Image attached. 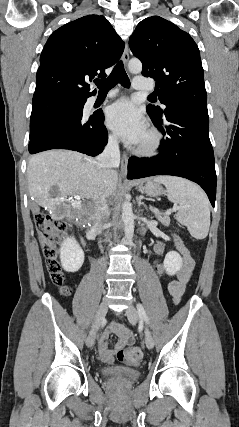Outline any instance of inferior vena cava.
Segmentation results:
<instances>
[{
  "label": "inferior vena cava",
  "instance_id": "inferior-vena-cava-1",
  "mask_svg": "<svg viewBox=\"0 0 239 427\" xmlns=\"http://www.w3.org/2000/svg\"><path fill=\"white\" fill-rule=\"evenodd\" d=\"M100 167L104 172L111 171L112 168L118 167L120 163V151L118 145V139L116 136H110L108 143L105 146L103 152L97 158ZM109 217L108 206L105 201H102L99 206V213L95 221V230L101 232L105 222Z\"/></svg>",
  "mask_w": 239,
  "mask_h": 427
}]
</instances>
